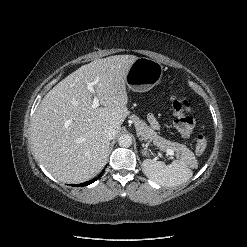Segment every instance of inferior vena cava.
I'll use <instances>...</instances> for the list:
<instances>
[{
    "label": "inferior vena cava",
    "instance_id": "obj_1",
    "mask_svg": "<svg viewBox=\"0 0 247 247\" xmlns=\"http://www.w3.org/2000/svg\"><path fill=\"white\" fill-rule=\"evenodd\" d=\"M104 135L106 136V138L108 140H112L116 136V131L113 127L109 126V127L105 128Z\"/></svg>",
    "mask_w": 247,
    "mask_h": 247
}]
</instances>
